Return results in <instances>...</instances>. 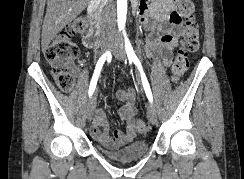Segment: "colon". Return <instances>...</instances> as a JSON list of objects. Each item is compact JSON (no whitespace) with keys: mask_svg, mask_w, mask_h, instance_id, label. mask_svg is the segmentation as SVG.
Returning a JSON list of instances; mask_svg holds the SVG:
<instances>
[{"mask_svg":"<svg viewBox=\"0 0 244 179\" xmlns=\"http://www.w3.org/2000/svg\"><path fill=\"white\" fill-rule=\"evenodd\" d=\"M178 10L175 15L183 18L185 33L181 44L174 57L171 67V81L179 82L189 66L188 55L199 48V32L194 19L195 5L191 0H176ZM83 19H76L68 24L45 50V60L52 67V73L59 87L63 91H69L73 87V78L67 67L79 57V47L71 38L83 33L86 29ZM136 129L141 133L148 130V126L142 120L136 122Z\"/></svg>","mask_w":244,"mask_h":179,"instance_id":"obj_1","label":"colon"}]
</instances>
